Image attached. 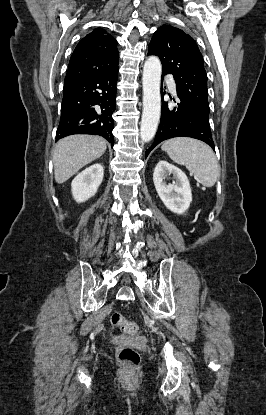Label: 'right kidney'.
Masks as SVG:
<instances>
[{
	"label": "right kidney",
	"mask_w": 266,
	"mask_h": 415,
	"mask_svg": "<svg viewBox=\"0 0 266 415\" xmlns=\"http://www.w3.org/2000/svg\"><path fill=\"white\" fill-rule=\"evenodd\" d=\"M104 169L101 164H94L79 173L71 183L72 195L78 203L94 196L102 183Z\"/></svg>",
	"instance_id": "ca27d5eb"
}]
</instances>
